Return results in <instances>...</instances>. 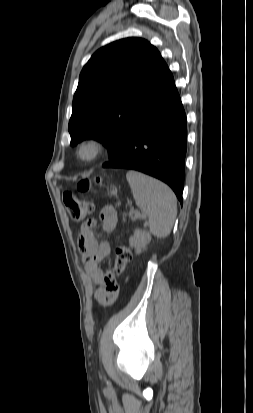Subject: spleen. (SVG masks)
<instances>
[{"mask_svg":"<svg viewBox=\"0 0 253 413\" xmlns=\"http://www.w3.org/2000/svg\"><path fill=\"white\" fill-rule=\"evenodd\" d=\"M137 206L149 218L150 232L158 238L167 237L177 215V202L173 191L164 183L140 172L126 174Z\"/></svg>","mask_w":253,"mask_h":413,"instance_id":"obj_1","label":"spleen"}]
</instances>
